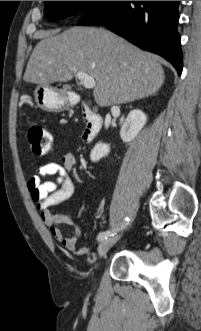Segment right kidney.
I'll list each match as a JSON object with an SVG mask.
<instances>
[{"mask_svg":"<svg viewBox=\"0 0 201 331\" xmlns=\"http://www.w3.org/2000/svg\"><path fill=\"white\" fill-rule=\"evenodd\" d=\"M147 121V116L141 110H132L122 125L120 136L124 142H131L138 135ZM110 152V146L97 143L90 153L93 162L100 160Z\"/></svg>","mask_w":201,"mask_h":331,"instance_id":"ca27d5eb","label":"right kidney"}]
</instances>
